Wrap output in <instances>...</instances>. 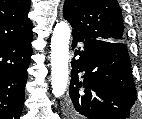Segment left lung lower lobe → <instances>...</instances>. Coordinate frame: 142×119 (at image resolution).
<instances>
[{"label":"left lung lower lobe","instance_id":"1","mask_svg":"<svg viewBox=\"0 0 142 119\" xmlns=\"http://www.w3.org/2000/svg\"><path fill=\"white\" fill-rule=\"evenodd\" d=\"M72 35V49L84 43L74 52L79 58L72 59V109L88 119L128 118L137 97L126 45Z\"/></svg>","mask_w":142,"mask_h":119}]
</instances>
